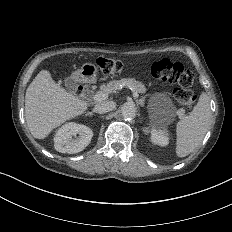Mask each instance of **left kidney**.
<instances>
[{"instance_id": "obj_1", "label": "left kidney", "mask_w": 232, "mask_h": 232, "mask_svg": "<svg viewBox=\"0 0 232 232\" xmlns=\"http://www.w3.org/2000/svg\"><path fill=\"white\" fill-rule=\"evenodd\" d=\"M152 125L154 127H160L162 125V123H160L158 120H153L152 121ZM167 131L162 129L159 132H157L156 130L152 131V141L155 144H158L160 146H165L168 143V138H167Z\"/></svg>"}]
</instances>
